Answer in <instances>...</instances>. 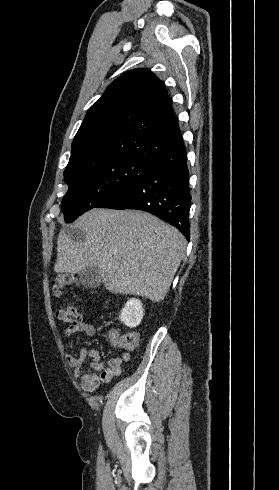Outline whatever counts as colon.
<instances>
[{
	"label": "colon",
	"mask_w": 279,
	"mask_h": 490,
	"mask_svg": "<svg viewBox=\"0 0 279 490\" xmlns=\"http://www.w3.org/2000/svg\"><path fill=\"white\" fill-rule=\"evenodd\" d=\"M74 281L75 277L72 274L65 272L59 273L58 276L51 282V291L56 295H60L62 288L68 284L73 283ZM56 317L62 323H66L70 326L75 325L80 320L77 309L71 305L64 306L58 309L56 312ZM105 337L110 338L111 341H115V349H120L124 353H126V350H133L136 347L138 341V335L136 333L130 332L124 335H120L119 329H106Z\"/></svg>",
	"instance_id": "colon-1"
}]
</instances>
